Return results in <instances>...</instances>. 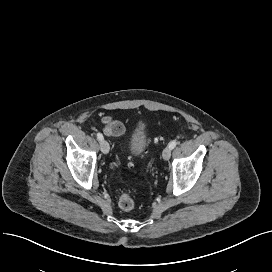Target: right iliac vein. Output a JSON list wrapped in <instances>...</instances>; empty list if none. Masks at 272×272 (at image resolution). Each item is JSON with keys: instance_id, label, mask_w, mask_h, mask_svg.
<instances>
[{"instance_id": "63e3f726", "label": "right iliac vein", "mask_w": 272, "mask_h": 272, "mask_svg": "<svg viewBox=\"0 0 272 272\" xmlns=\"http://www.w3.org/2000/svg\"><path fill=\"white\" fill-rule=\"evenodd\" d=\"M100 149H101L103 154H107L109 152V150H110L109 143L106 140H102L100 142Z\"/></svg>"}]
</instances>
